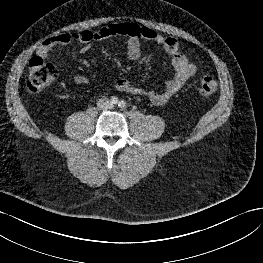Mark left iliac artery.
Returning a JSON list of instances; mask_svg holds the SVG:
<instances>
[{"instance_id":"left-iliac-artery-1","label":"left iliac artery","mask_w":263,"mask_h":263,"mask_svg":"<svg viewBox=\"0 0 263 263\" xmlns=\"http://www.w3.org/2000/svg\"><path fill=\"white\" fill-rule=\"evenodd\" d=\"M118 106H119L120 108H125V107H126V102L123 101V100H121V101L118 103Z\"/></svg>"}]
</instances>
